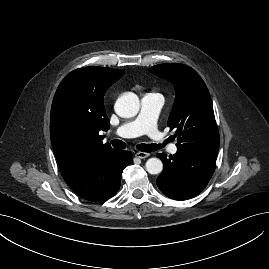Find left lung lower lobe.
Masks as SVG:
<instances>
[{"mask_svg":"<svg viewBox=\"0 0 269 269\" xmlns=\"http://www.w3.org/2000/svg\"><path fill=\"white\" fill-rule=\"evenodd\" d=\"M218 149H179L167 158L158 153L164 164L157 178L159 190L174 200H186L199 194L214 173Z\"/></svg>","mask_w":269,"mask_h":269,"instance_id":"obj_1","label":"left lung lower lobe"}]
</instances>
